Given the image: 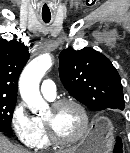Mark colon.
<instances>
[{
    "label": "colon",
    "instance_id": "obj_1",
    "mask_svg": "<svg viewBox=\"0 0 130 153\" xmlns=\"http://www.w3.org/2000/svg\"><path fill=\"white\" fill-rule=\"evenodd\" d=\"M115 152L116 153H122L123 152L122 146L121 145H117L116 149H115Z\"/></svg>",
    "mask_w": 130,
    "mask_h": 153
}]
</instances>
